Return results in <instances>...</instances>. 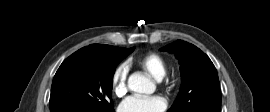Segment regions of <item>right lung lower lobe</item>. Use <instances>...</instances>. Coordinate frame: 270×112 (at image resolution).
I'll return each mask as SVG.
<instances>
[{"label":"right lung lower lobe","instance_id":"obj_1","mask_svg":"<svg viewBox=\"0 0 270 112\" xmlns=\"http://www.w3.org/2000/svg\"><path fill=\"white\" fill-rule=\"evenodd\" d=\"M51 112H97V111H88V110H82V109H57Z\"/></svg>","mask_w":270,"mask_h":112}]
</instances>
